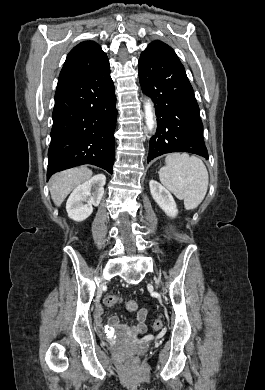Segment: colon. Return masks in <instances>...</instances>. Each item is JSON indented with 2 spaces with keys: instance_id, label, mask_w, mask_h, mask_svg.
<instances>
[{
  "instance_id": "colon-1",
  "label": "colon",
  "mask_w": 265,
  "mask_h": 390,
  "mask_svg": "<svg viewBox=\"0 0 265 390\" xmlns=\"http://www.w3.org/2000/svg\"><path fill=\"white\" fill-rule=\"evenodd\" d=\"M122 301L121 297L118 296V295H110L108 297H106L105 299V304L109 307H114L116 306L117 304H119L120 302ZM126 308L128 311H131V312H134L137 310L138 308V304L135 300H128L126 302ZM162 321L160 319H156L154 322H153V328L155 330H160L162 328Z\"/></svg>"
}]
</instances>
